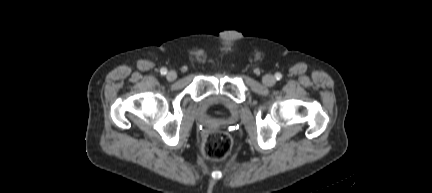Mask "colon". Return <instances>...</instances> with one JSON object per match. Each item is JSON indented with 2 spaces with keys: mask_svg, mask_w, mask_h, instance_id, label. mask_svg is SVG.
Segmentation results:
<instances>
[{
  "mask_svg": "<svg viewBox=\"0 0 432 193\" xmlns=\"http://www.w3.org/2000/svg\"><path fill=\"white\" fill-rule=\"evenodd\" d=\"M232 138L223 131L209 133L202 144V152L205 157L212 160L225 158L231 151Z\"/></svg>",
  "mask_w": 432,
  "mask_h": 193,
  "instance_id": "5ec220e1",
  "label": "colon"
}]
</instances>
